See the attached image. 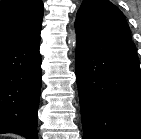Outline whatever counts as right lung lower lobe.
I'll return each mask as SVG.
<instances>
[{
    "mask_svg": "<svg viewBox=\"0 0 141 139\" xmlns=\"http://www.w3.org/2000/svg\"><path fill=\"white\" fill-rule=\"evenodd\" d=\"M40 35L0 49V133L38 139Z\"/></svg>",
    "mask_w": 141,
    "mask_h": 139,
    "instance_id": "1",
    "label": "right lung lower lobe"
}]
</instances>
